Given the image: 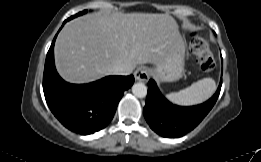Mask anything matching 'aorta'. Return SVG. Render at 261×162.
<instances>
[{
  "instance_id": "762f6f07",
  "label": "aorta",
  "mask_w": 261,
  "mask_h": 162,
  "mask_svg": "<svg viewBox=\"0 0 261 162\" xmlns=\"http://www.w3.org/2000/svg\"><path fill=\"white\" fill-rule=\"evenodd\" d=\"M132 93L138 98H144L147 95V87L144 83H135L132 86Z\"/></svg>"
}]
</instances>
